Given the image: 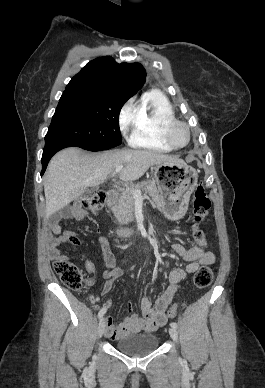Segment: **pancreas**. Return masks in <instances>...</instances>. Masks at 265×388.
Returning <instances> with one entry per match:
<instances>
[{
	"instance_id": "cf45deb5",
	"label": "pancreas",
	"mask_w": 265,
	"mask_h": 388,
	"mask_svg": "<svg viewBox=\"0 0 265 388\" xmlns=\"http://www.w3.org/2000/svg\"><path fill=\"white\" fill-rule=\"evenodd\" d=\"M133 190H144L145 194L151 196L153 202H155L157 208H164L165 202L161 190H158L154 180H146V182H138V184H132L127 190L122 192L118 200V206H113L112 212L117 218L120 224H128V222H134V198Z\"/></svg>"
}]
</instances>
